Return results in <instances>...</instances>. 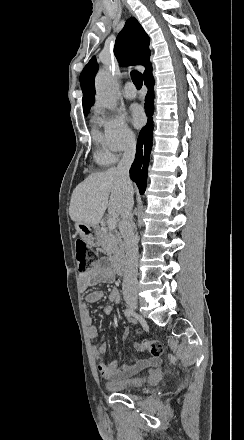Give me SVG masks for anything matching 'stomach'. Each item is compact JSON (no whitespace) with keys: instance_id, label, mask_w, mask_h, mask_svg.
<instances>
[{"instance_id":"obj_1","label":"stomach","mask_w":244,"mask_h":440,"mask_svg":"<svg viewBox=\"0 0 244 440\" xmlns=\"http://www.w3.org/2000/svg\"><path fill=\"white\" fill-rule=\"evenodd\" d=\"M74 228L76 230V234H79L80 238H82V240H84L88 246H92V248L99 246L101 234L99 226H92V224L76 222Z\"/></svg>"}]
</instances>
